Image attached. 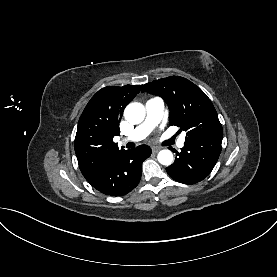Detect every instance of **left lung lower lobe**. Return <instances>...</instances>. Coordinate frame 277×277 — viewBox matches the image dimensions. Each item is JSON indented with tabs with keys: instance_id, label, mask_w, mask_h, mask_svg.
Segmentation results:
<instances>
[{
	"instance_id": "left-lung-lower-lobe-1",
	"label": "left lung lower lobe",
	"mask_w": 277,
	"mask_h": 277,
	"mask_svg": "<svg viewBox=\"0 0 277 277\" xmlns=\"http://www.w3.org/2000/svg\"><path fill=\"white\" fill-rule=\"evenodd\" d=\"M223 134H211L185 140L175 162L166 168L174 180L195 184L206 178L214 168L221 152Z\"/></svg>"
}]
</instances>
